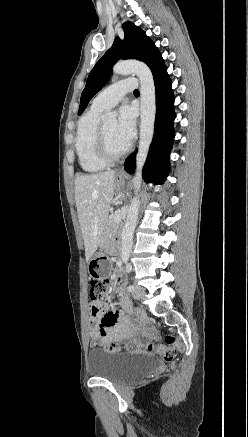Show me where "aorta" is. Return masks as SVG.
Wrapping results in <instances>:
<instances>
[{"label": "aorta", "instance_id": "1", "mask_svg": "<svg viewBox=\"0 0 248 437\" xmlns=\"http://www.w3.org/2000/svg\"><path fill=\"white\" fill-rule=\"evenodd\" d=\"M113 72L117 75L135 74L140 81V132L138 152L136 155V170L133 179L136 196H134L131 201L122 230L121 255L123 260H128L132 252L133 235L140 204L137 192L141 187L142 168L154 135L156 94L152 72L145 63L136 60L121 61L113 67ZM102 118L104 120H114L116 114L108 112L104 114Z\"/></svg>", "mask_w": 248, "mask_h": 437}]
</instances>
